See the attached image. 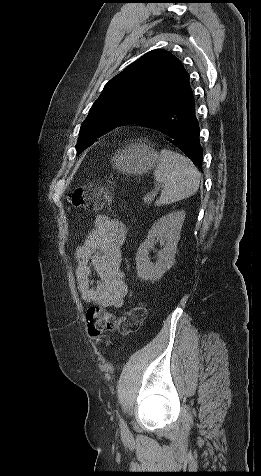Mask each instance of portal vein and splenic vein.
Instances as JSON below:
<instances>
[{
    "label": "portal vein and splenic vein",
    "instance_id": "obj_1",
    "mask_svg": "<svg viewBox=\"0 0 261 476\" xmlns=\"http://www.w3.org/2000/svg\"><path fill=\"white\" fill-rule=\"evenodd\" d=\"M157 194H158L157 191H155V192L153 193V196L155 197V196H157Z\"/></svg>",
    "mask_w": 261,
    "mask_h": 476
}]
</instances>
